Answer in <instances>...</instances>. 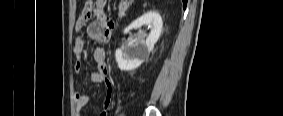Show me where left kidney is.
Segmentation results:
<instances>
[{
	"instance_id": "5707ae66",
	"label": "left kidney",
	"mask_w": 283,
	"mask_h": 116,
	"mask_svg": "<svg viewBox=\"0 0 283 116\" xmlns=\"http://www.w3.org/2000/svg\"><path fill=\"white\" fill-rule=\"evenodd\" d=\"M144 25L151 29L146 38L138 37L134 42L116 50L115 58L120 70L131 71L139 67L148 59L150 52L158 41L163 22L160 14L156 11H148L128 25L123 32L127 34L132 29L140 28Z\"/></svg>"
}]
</instances>
